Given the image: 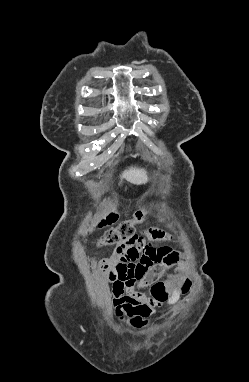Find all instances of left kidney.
Wrapping results in <instances>:
<instances>
[{
	"instance_id": "1",
	"label": "left kidney",
	"mask_w": 249,
	"mask_h": 382,
	"mask_svg": "<svg viewBox=\"0 0 249 382\" xmlns=\"http://www.w3.org/2000/svg\"><path fill=\"white\" fill-rule=\"evenodd\" d=\"M177 276V275H176ZM180 282L183 280L181 277L178 279ZM174 281L172 284L174 286L171 287L170 294L166 296L165 299V304H173L175 301H182V298L185 297V292L182 291V287L179 286L181 283L180 282ZM178 285V286H176Z\"/></svg>"
}]
</instances>
